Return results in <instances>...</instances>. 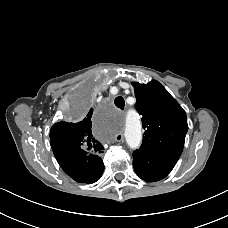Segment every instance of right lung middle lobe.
Masks as SVG:
<instances>
[{
  "label": "right lung middle lobe",
  "instance_id": "obj_1",
  "mask_svg": "<svg viewBox=\"0 0 228 228\" xmlns=\"http://www.w3.org/2000/svg\"><path fill=\"white\" fill-rule=\"evenodd\" d=\"M92 104V96L90 92H83L81 93L73 106V113L75 115H83L91 106Z\"/></svg>",
  "mask_w": 228,
  "mask_h": 228
}]
</instances>
